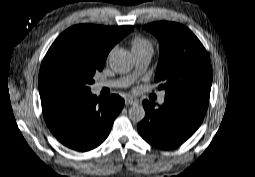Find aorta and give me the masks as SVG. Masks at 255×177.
Instances as JSON below:
<instances>
[{
    "instance_id": "aorta-1",
    "label": "aorta",
    "mask_w": 255,
    "mask_h": 177,
    "mask_svg": "<svg viewBox=\"0 0 255 177\" xmlns=\"http://www.w3.org/2000/svg\"><path fill=\"white\" fill-rule=\"evenodd\" d=\"M109 64L113 71L119 74L129 72L133 67L132 54L124 49H117L111 52ZM128 116L133 122H140L145 117V109L142 105L134 104L128 110Z\"/></svg>"
}]
</instances>
